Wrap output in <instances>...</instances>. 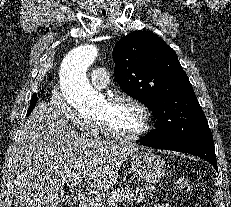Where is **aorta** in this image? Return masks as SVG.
<instances>
[{
	"label": "aorta",
	"mask_w": 231,
	"mask_h": 207,
	"mask_svg": "<svg viewBox=\"0 0 231 207\" xmlns=\"http://www.w3.org/2000/svg\"><path fill=\"white\" fill-rule=\"evenodd\" d=\"M98 56L93 44L78 46L67 53L60 67V85L65 100L80 112L90 113L104 97L90 85L86 72Z\"/></svg>",
	"instance_id": "1"
}]
</instances>
